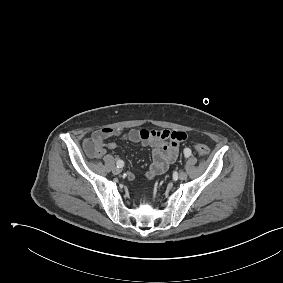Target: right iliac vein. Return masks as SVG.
Here are the masks:
<instances>
[{"label": "right iliac vein", "mask_w": 283, "mask_h": 283, "mask_svg": "<svg viewBox=\"0 0 283 283\" xmlns=\"http://www.w3.org/2000/svg\"><path fill=\"white\" fill-rule=\"evenodd\" d=\"M112 172H113V174L118 175V174H120L121 169L118 168V167H114V168L112 169Z\"/></svg>", "instance_id": "63e3f726"}]
</instances>
